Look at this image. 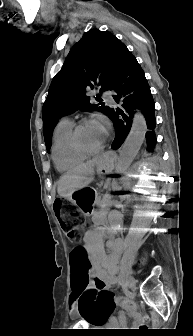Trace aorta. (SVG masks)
<instances>
[{
    "label": "aorta",
    "mask_w": 193,
    "mask_h": 336,
    "mask_svg": "<svg viewBox=\"0 0 193 336\" xmlns=\"http://www.w3.org/2000/svg\"><path fill=\"white\" fill-rule=\"evenodd\" d=\"M146 131L147 124L145 117L141 112L137 111L133 118L131 130L120 150L117 166L119 172H125L133 162L144 142Z\"/></svg>",
    "instance_id": "obj_1"
}]
</instances>
